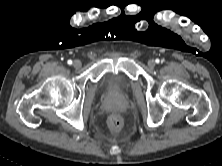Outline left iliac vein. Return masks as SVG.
Returning <instances> with one entry per match:
<instances>
[{"label": "left iliac vein", "mask_w": 222, "mask_h": 166, "mask_svg": "<svg viewBox=\"0 0 222 166\" xmlns=\"http://www.w3.org/2000/svg\"><path fill=\"white\" fill-rule=\"evenodd\" d=\"M148 66H149L150 68H153V67L155 66L154 60H149V61H148Z\"/></svg>", "instance_id": "1"}]
</instances>
